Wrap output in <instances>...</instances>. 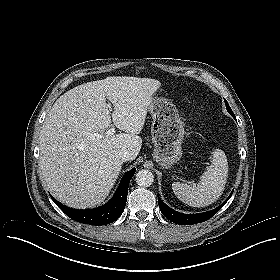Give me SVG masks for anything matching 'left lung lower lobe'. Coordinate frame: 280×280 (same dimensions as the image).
<instances>
[{
  "label": "left lung lower lobe",
  "mask_w": 280,
  "mask_h": 280,
  "mask_svg": "<svg viewBox=\"0 0 280 280\" xmlns=\"http://www.w3.org/2000/svg\"><path fill=\"white\" fill-rule=\"evenodd\" d=\"M233 193V192H232ZM232 193L228 197V199L220 205L218 208H215L211 211L204 212V213H198V214H183L179 213L170 207H168L158 196V204L161 210V213L168 218L170 221L176 224H181V225H193L196 223L204 222L208 219H210L212 216H214L224 205L225 203L229 200L231 197Z\"/></svg>",
  "instance_id": "obj_1"
}]
</instances>
